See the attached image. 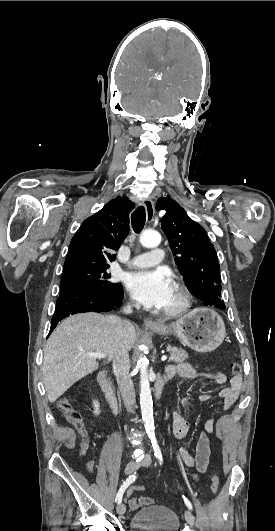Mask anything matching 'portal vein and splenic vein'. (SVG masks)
<instances>
[{
  "label": "portal vein and splenic vein",
  "mask_w": 275,
  "mask_h": 531,
  "mask_svg": "<svg viewBox=\"0 0 275 531\" xmlns=\"http://www.w3.org/2000/svg\"><path fill=\"white\" fill-rule=\"evenodd\" d=\"M86 357H95V359H105L106 355L104 353H86ZM166 355L161 357V361H166Z\"/></svg>",
  "instance_id": "1"
}]
</instances>
